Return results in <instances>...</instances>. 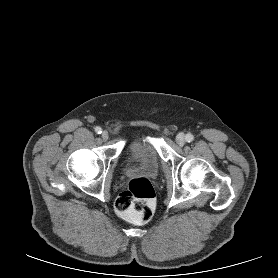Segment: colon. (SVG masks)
Returning <instances> with one entry per match:
<instances>
[{
	"instance_id": "5ec220e1",
	"label": "colon",
	"mask_w": 278,
	"mask_h": 278,
	"mask_svg": "<svg viewBox=\"0 0 278 278\" xmlns=\"http://www.w3.org/2000/svg\"><path fill=\"white\" fill-rule=\"evenodd\" d=\"M154 208L155 192L150 181L144 177L132 179L115 201L118 215L134 223L149 221Z\"/></svg>"
}]
</instances>
